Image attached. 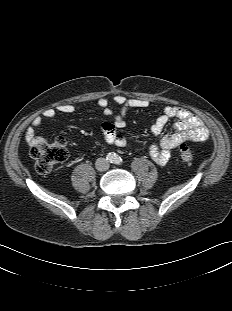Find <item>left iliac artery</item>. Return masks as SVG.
Masks as SVG:
<instances>
[{
  "label": "left iliac artery",
  "instance_id": "44dca946",
  "mask_svg": "<svg viewBox=\"0 0 232 311\" xmlns=\"http://www.w3.org/2000/svg\"><path fill=\"white\" fill-rule=\"evenodd\" d=\"M114 163L118 164V165L121 164L122 163V158L120 156H116L115 160H114Z\"/></svg>",
  "mask_w": 232,
  "mask_h": 311
}]
</instances>
